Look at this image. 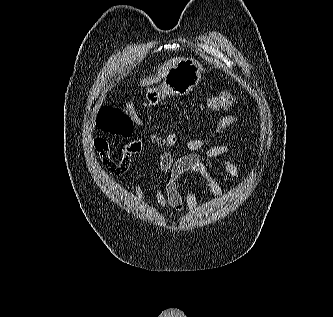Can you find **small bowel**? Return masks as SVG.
<instances>
[{"label": "small bowel", "mask_w": 333, "mask_h": 317, "mask_svg": "<svg viewBox=\"0 0 333 317\" xmlns=\"http://www.w3.org/2000/svg\"><path fill=\"white\" fill-rule=\"evenodd\" d=\"M238 122L239 117L236 114L225 115L216 122L209 136L187 140L186 147L189 150L188 154L179 158H174L168 151L160 154L155 197L158 206L162 210L169 208L180 213L184 208H187L190 212L196 209V194L189 186L190 178L194 175L200 176L206 182L211 193L216 198L222 197L223 190L203 162L199 151L207 147L205 155L217 161L232 179H237L239 177L238 168L227 158V155L233 152V148L227 144H213V142L227 128ZM93 145L104 167L114 175L126 173L130 168L132 157L142 150V142L140 140H131L123 147L119 156L115 158L112 156L110 144L106 139L97 137L94 139ZM165 173L169 174V179L165 187L162 188L159 179ZM181 182L186 185L185 194H182L180 191ZM134 189L136 196L142 199L143 192L139 182H134Z\"/></svg>", "instance_id": "1"}]
</instances>
